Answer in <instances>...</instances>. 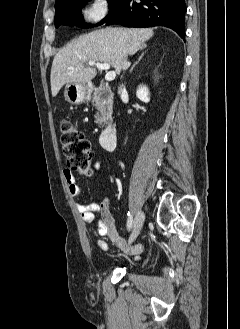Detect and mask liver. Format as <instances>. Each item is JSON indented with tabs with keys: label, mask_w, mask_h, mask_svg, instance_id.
<instances>
[{
	"label": "liver",
	"mask_w": 240,
	"mask_h": 329,
	"mask_svg": "<svg viewBox=\"0 0 240 329\" xmlns=\"http://www.w3.org/2000/svg\"><path fill=\"white\" fill-rule=\"evenodd\" d=\"M153 30L105 28L72 41L54 57L50 82L55 97L66 83H90L97 71L89 61L110 64L116 72L122 69L124 55H133L153 36ZM73 68V69H72Z\"/></svg>",
	"instance_id": "1"
}]
</instances>
